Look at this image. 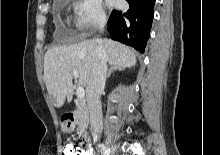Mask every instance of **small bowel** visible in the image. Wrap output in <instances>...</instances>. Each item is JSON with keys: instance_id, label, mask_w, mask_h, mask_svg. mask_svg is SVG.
<instances>
[{"instance_id": "small-bowel-1", "label": "small bowel", "mask_w": 220, "mask_h": 155, "mask_svg": "<svg viewBox=\"0 0 220 155\" xmlns=\"http://www.w3.org/2000/svg\"><path fill=\"white\" fill-rule=\"evenodd\" d=\"M80 139H81V140H77V141H76V144H77V145H86V144H87V141H86V140H82V139H83L82 137H81Z\"/></svg>"}]
</instances>
